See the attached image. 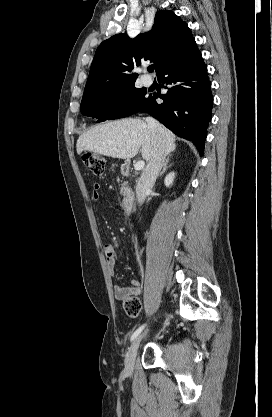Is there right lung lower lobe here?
Instances as JSON below:
<instances>
[{"label": "right lung lower lobe", "mask_w": 272, "mask_h": 417, "mask_svg": "<svg viewBox=\"0 0 272 417\" xmlns=\"http://www.w3.org/2000/svg\"><path fill=\"white\" fill-rule=\"evenodd\" d=\"M157 77L171 87L164 95L150 94L138 112L150 114L176 135L192 141L202 156L213 95L207 68L195 41ZM157 98L164 102L158 103Z\"/></svg>", "instance_id": "98d812e1"}]
</instances>
